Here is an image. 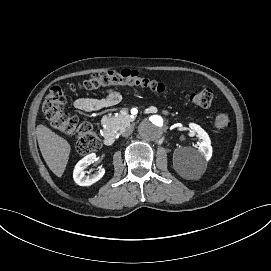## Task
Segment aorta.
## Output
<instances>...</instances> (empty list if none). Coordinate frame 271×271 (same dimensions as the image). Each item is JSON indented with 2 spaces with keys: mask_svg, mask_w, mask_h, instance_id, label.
Here are the masks:
<instances>
[{
  "mask_svg": "<svg viewBox=\"0 0 271 271\" xmlns=\"http://www.w3.org/2000/svg\"><path fill=\"white\" fill-rule=\"evenodd\" d=\"M166 128V121L159 115H153L142 120L138 126V133L145 141L159 139Z\"/></svg>",
  "mask_w": 271,
  "mask_h": 271,
  "instance_id": "aorta-1",
  "label": "aorta"
}]
</instances>
